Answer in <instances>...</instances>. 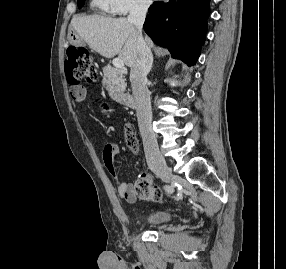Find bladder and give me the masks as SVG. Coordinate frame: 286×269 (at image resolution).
<instances>
[{"mask_svg": "<svg viewBox=\"0 0 286 269\" xmlns=\"http://www.w3.org/2000/svg\"><path fill=\"white\" fill-rule=\"evenodd\" d=\"M175 215L170 210H157L147 214L144 217L143 223L150 227H159L172 222Z\"/></svg>", "mask_w": 286, "mask_h": 269, "instance_id": "31cf9c89", "label": "bladder"}]
</instances>
